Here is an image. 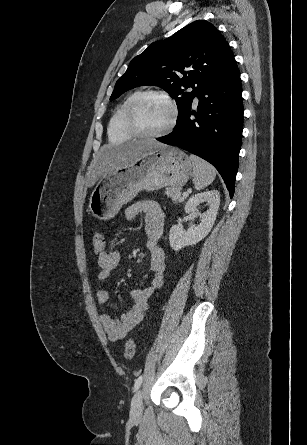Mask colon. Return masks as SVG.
<instances>
[{
    "label": "colon",
    "instance_id": "1",
    "mask_svg": "<svg viewBox=\"0 0 307 445\" xmlns=\"http://www.w3.org/2000/svg\"><path fill=\"white\" fill-rule=\"evenodd\" d=\"M91 243L94 251L97 253H102L105 251V241L103 234L100 231L93 232L91 236ZM135 354V341L130 338L126 341L124 347V358L130 360Z\"/></svg>",
    "mask_w": 307,
    "mask_h": 445
}]
</instances>
